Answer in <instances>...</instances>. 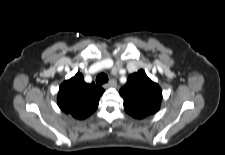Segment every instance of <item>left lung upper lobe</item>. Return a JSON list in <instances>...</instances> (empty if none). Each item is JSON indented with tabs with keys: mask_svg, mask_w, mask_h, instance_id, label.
Listing matches in <instances>:
<instances>
[{
	"mask_svg": "<svg viewBox=\"0 0 225 155\" xmlns=\"http://www.w3.org/2000/svg\"><path fill=\"white\" fill-rule=\"evenodd\" d=\"M119 93L124 99L125 111L136 119L155 114L162 101L161 88L143 70L131 74Z\"/></svg>",
	"mask_w": 225,
	"mask_h": 155,
	"instance_id": "left-lung-upper-lobe-1",
	"label": "left lung upper lobe"
}]
</instances>
